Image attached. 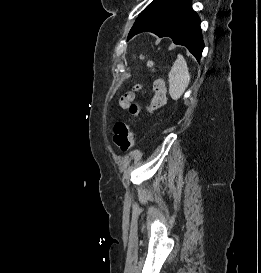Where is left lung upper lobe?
I'll use <instances>...</instances> for the list:
<instances>
[{
	"instance_id": "left-lung-upper-lobe-1",
	"label": "left lung upper lobe",
	"mask_w": 261,
	"mask_h": 273,
	"mask_svg": "<svg viewBox=\"0 0 261 273\" xmlns=\"http://www.w3.org/2000/svg\"><path fill=\"white\" fill-rule=\"evenodd\" d=\"M165 0H154L152 3H150L148 6H147V8L143 11V12H141V14H140V16L142 15V14H144L146 11H148L149 9H151L152 7H154V6H156V5H158V4H160V3H162V2H164ZM139 16V17H140Z\"/></svg>"
}]
</instances>
